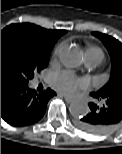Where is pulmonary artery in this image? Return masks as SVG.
<instances>
[{
  "label": "pulmonary artery",
  "instance_id": "pulmonary-artery-1",
  "mask_svg": "<svg viewBox=\"0 0 122 154\" xmlns=\"http://www.w3.org/2000/svg\"><path fill=\"white\" fill-rule=\"evenodd\" d=\"M102 62V57L94 54H86V66L88 68H95Z\"/></svg>",
  "mask_w": 122,
  "mask_h": 154
}]
</instances>
